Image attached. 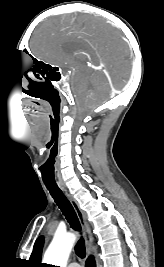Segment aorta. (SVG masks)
Instances as JSON below:
<instances>
[{"label":"aorta","mask_w":164,"mask_h":267,"mask_svg":"<svg viewBox=\"0 0 164 267\" xmlns=\"http://www.w3.org/2000/svg\"><path fill=\"white\" fill-rule=\"evenodd\" d=\"M75 241L76 236L73 233L56 235L44 254V263L66 267L67 260Z\"/></svg>","instance_id":"obj_1"}]
</instances>
